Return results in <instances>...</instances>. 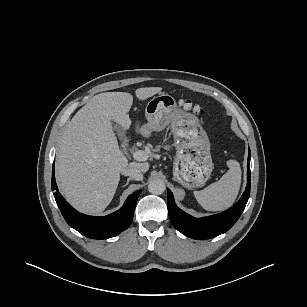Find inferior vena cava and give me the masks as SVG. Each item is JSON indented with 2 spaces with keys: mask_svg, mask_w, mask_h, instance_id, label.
Here are the masks:
<instances>
[{
  "mask_svg": "<svg viewBox=\"0 0 307 307\" xmlns=\"http://www.w3.org/2000/svg\"><path fill=\"white\" fill-rule=\"evenodd\" d=\"M121 173L125 176H129L130 178L140 181L143 179V173L140 169L133 167V166H128L124 169L121 170Z\"/></svg>",
  "mask_w": 307,
  "mask_h": 307,
  "instance_id": "602c4592",
  "label": "inferior vena cava"
}]
</instances>
